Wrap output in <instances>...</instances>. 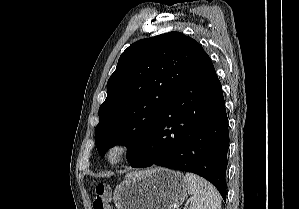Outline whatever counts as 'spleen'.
Segmentation results:
<instances>
[{"label":"spleen","mask_w":299,"mask_h":209,"mask_svg":"<svg viewBox=\"0 0 299 209\" xmlns=\"http://www.w3.org/2000/svg\"><path fill=\"white\" fill-rule=\"evenodd\" d=\"M188 193L192 195L189 209H220L221 197L217 189L207 180L187 172Z\"/></svg>","instance_id":"3e777b00"}]
</instances>
